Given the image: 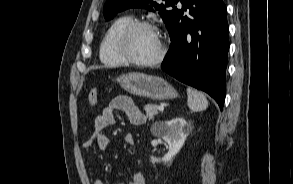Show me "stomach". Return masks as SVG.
Returning a JSON list of instances; mask_svg holds the SVG:
<instances>
[{
	"instance_id": "1",
	"label": "stomach",
	"mask_w": 293,
	"mask_h": 184,
	"mask_svg": "<svg viewBox=\"0 0 293 184\" xmlns=\"http://www.w3.org/2000/svg\"><path fill=\"white\" fill-rule=\"evenodd\" d=\"M120 86L128 93L153 100L177 97L176 90L163 78L140 72H130L116 78Z\"/></svg>"
}]
</instances>
